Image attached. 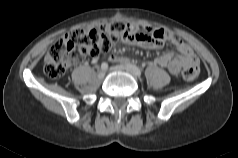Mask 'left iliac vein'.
<instances>
[{"mask_svg":"<svg viewBox=\"0 0 238 158\" xmlns=\"http://www.w3.org/2000/svg\"><path fill=\"white\" fill-rule=\"evenodd\" d=\"M111 70L112 71H130L128 68H126L123 65H118V66L111 67Z\"/></svg>","mask_w":238,"mask_h":158,"instance_id":"4c4485c4","label":"left iliac vein"}]
</instances>
